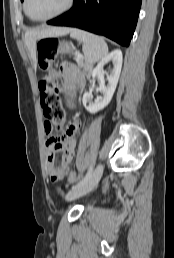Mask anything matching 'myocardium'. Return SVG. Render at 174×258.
<instances>
[{
    "mask_svg": "<svg viewBox=\"0 0 174 258\" xmlns=\"http://www.w3.org/2000/svg\"><path fill=\"white\" fill-rule=\"evenodd\" d=\"M28 2H29V0H24V5H23L24 12L27 15V17L29 19H31L32 21H35V22H44V21L52 20V19H54L56 17H59V16L65 14L67 11H69L72 8L75 0H67L66 5L61 10H59L58 12H56L54 14H51L49 16L42 17V18H33L29 14V12H28Z\"/></svg>",
    "mask_w": 174,
    "mask_h": 258,
    "instance_id": "obj_1",
    "label": "myocardium"
}]
</instances>
